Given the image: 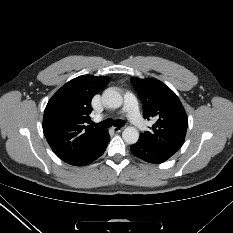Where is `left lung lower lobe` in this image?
<instances>
[{
  "label": "left lung lower lobe",
  "instance_id": "1",
  "mask_svg": "<svg viewBox=\"0 0 233 233\" xmlns=\"http://www.w3.org/2000/svg\"><path fill=\"white\" fill-rule=\"evenodd\" d=\"M130 150L138 158L154 164L163 163L173 155L171 152L150 145L141 137L135 144L130 146Z\"/></svg>",
  "mask_w": 233,
  "mask_h": 233
}]
</instances>
